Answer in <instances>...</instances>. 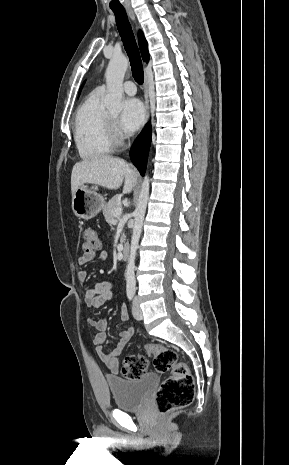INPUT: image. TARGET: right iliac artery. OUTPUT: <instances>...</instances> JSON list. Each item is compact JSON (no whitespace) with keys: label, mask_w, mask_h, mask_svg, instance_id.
<instances>
[{"label":"right iliac artery","mask_w":289,"mask_h":465,"mask_svg":"<svg viewBox=\"0 0 289 465\" xmlns=\"http://www.w3.org/2000/svg\"><path fill=\"white\" fill-rule=\"evenodd\" d=\"M127 297H128V299H129L130 301H132V300H133V297H134V293H133V292H128V293H127Z\"/></svg>","instance_id":"1"}]
</instances>
